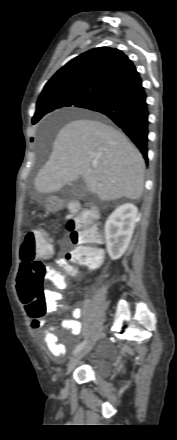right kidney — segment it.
<instances>
[{"label": "right kidney", "mask_w": 177, "mask_h": 440, "mask_svg": "<svg viewBox=\"0 0 177 440\" xmlns=\"http://www.w3.org/2000/svg\"><path fill=\"white\" fill-rule=\"evenodd\" d=\"M138 221V209L131 203L118 206L105 223L106 247L112 260L126 251Z\"/></svg>", "instance_id": "obj_1"}]
</instances>
